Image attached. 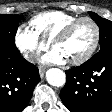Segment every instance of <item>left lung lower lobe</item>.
Returning a JSON list of instances; mask_svg holds the SVG:
<instances>
[{"mask_svg":"<svg viewBox=\"0 0 112 112\" xmlns=\"http://www.w3.org/2000/svg\"><path fill=\"white\" fill-rule=\"evenodd\" d=\"M60 92L71 112H110L112 109V48L99 51L82 65L66 70Z\"/></svg>","mask_w":112,"mask_h":112,"instance_id":"0a47b994","label":"left lung lower lobe"}]
</instances>
